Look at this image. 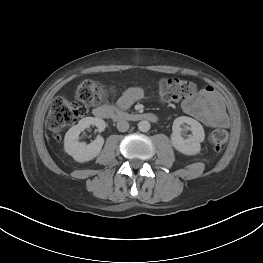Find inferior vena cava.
Returning a JSON list of instances; mask_svg holds the SVG:
<instances>
[{
	"label": "inferior vena cava",
	"mask_w": 263,
	"mask_h": 263,
	"mask_svg": "<svg viewBox=\"0 0 263 263\" xmlns=\"http://www.w3.org/2000/svg\"><path fill=\"white\" fill-rule=\"evenodd\" d=\"M117 129L120 132H125L129 129V123L126 120H119L117 122Z\"/></svg>",
	"instance_id": "obj_1"
}]
</instances>
